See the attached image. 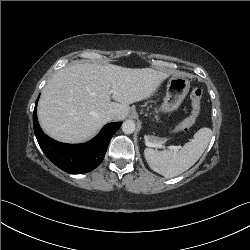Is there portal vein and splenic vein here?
I'll list each match as a JSON object with an SVG mask.
<instances>
[{"label": "portal vein and splenic vein", "instance_id": "obj_1", "mask_svg": "<svg viewBox=\"0 0 250 250\" xmlns=\"http://www.w3.org/2000/svg\"><path fill=\"white\" fill-rule=\"evenodd\" d=\"M151 146L152 147H157V148H165L161 143H154V144H151ZM168 148L173 149V150H177L180 147L179 146H169Z\"/></svg>", "mask_w": 250, "mask_h": 250}]
</instances>
